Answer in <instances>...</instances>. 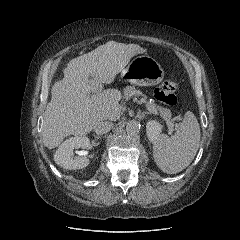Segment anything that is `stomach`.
<instances>
[{"mask_svg":"<svg viewBox=\"0 0 240 240\" xmlns=\"http://www.w3.org/2000/svg\"><path fill=\"white\" fill-rule=\"evenodd\" d=\"M121 77L138 86H154L163 80L164 71L154 58L142 55L129 63L122 71Z\"/></svg>","mask_w":240,"mask_h":240,"instance_id":"obj_1","label":"stomach"}]
</instances>
